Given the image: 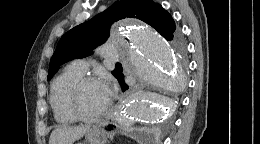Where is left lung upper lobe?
Instances as JSON below:
<instances>
[{"label":"left lung upper lobe","instance_id":"left-lung-upper-lobe-1","mask_svg":"<svg viewBox=\"0 0 260 144\" xmlns=\"http://www.w3.org/2000/svg\"><path fill=\"white\" fill-rule=\"evenodd\" d=\"M125 17L137 18L151 25L167 40H174L176 25L172 16L152 0H121L87 22L75 26L65 33L57 44L50 60L47 79H51L62 64L86 57L109 37L110 26ZM177 43V42H176ZM183 50V45L177 43ZM117 77L119 72L113 70Z\"/></svg>","mask_w":260,"mask_h":144}]
</instances>
